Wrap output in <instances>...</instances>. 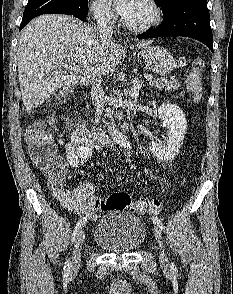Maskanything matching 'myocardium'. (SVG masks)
Listing matches in <instances>:
<instances>
[{
  "label": "myocardium",
  "instance_id": "obj_1",
  "mask_svg": "<svg viewBox=\"0 0 233 294\" xmlns=\"http://www.w3.org/2000/svg\"><path fill=\"white\" fill-rule=\"evenodd\" d=\"M151 10V17L144 23L132 24L124 20V25L133 32H145L157 26L161 21L162 11L155 0H143Z\"/></svg>",
  "mask_w": 233,
  "mask_h": 294
}]
</instances>
